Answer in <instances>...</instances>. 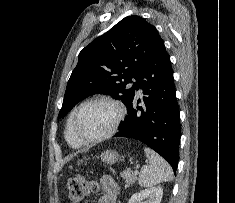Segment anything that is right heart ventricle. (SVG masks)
Returning a JSON list of instances; mask_svg holds the SVG:
<instances>
[{
  "label": "right heart ventricle",
  "instance_id": "1",
  "mask_svg": "<svg viewBox=\"0 0 235 203\" xmlns=\"http://www.w3.org/2000/svg\"><path fill=\"white\" fill-rule=\"evenodd\" d=\"M74 111L75 110H73L68 117L66 130H65V138L70 146L79 148L83 146V143L77 139V137L74 135L72 131V117H73Z\"/></svg>",
  "mask_w": 235,
  "mask_h": 203
}]
</instances>
